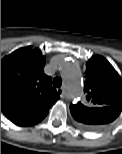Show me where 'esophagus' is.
<instances>
[{
    "label": "esophagus",
    "mask_w": 122,
    "mask_h": 154,
    "mask_svg": "<svg viewBox=\"0 0 122 154\" xmlns=\"http://www.w3.org/2000/svg\"><path fill=\"white\" fill-rule=\"evenodd\" d=\"M57 93L60 95L61 98L65 97L64 89L63 88H58Z\"/></svg>",
    "instance_id": "obj_1"
}]
</instances>
